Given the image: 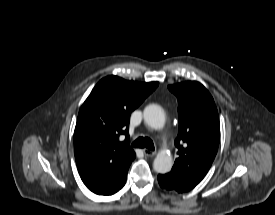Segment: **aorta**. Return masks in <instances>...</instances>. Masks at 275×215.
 I'll return each mask as SVG.
<instances>
[{
	"label": "aorta",
	"instance_id": "1",
	"mask_svg": "<svg viewBox=\"0 0 275 215\" xmlns=\"http://www.w3.org/2000/svg\"><path fill=\"white\" fill-rule=\"evenodd\" d=\"M144 121L153 129H162L165 125L164 110L156 104H150L145 107L143 112ZM173 166L171 155L160 152L154 159L153 168L157 173H168Z\"/></svg>",
	"mask_w": 275,
	"mask_h": 215
}]
</instances>
